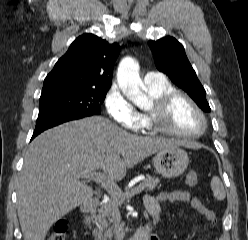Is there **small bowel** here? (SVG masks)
<instances>
[{
  "label": "small bowel",
  "instance_id": "obj_1",
  "mask_svg": "<svg viewBox=\"0 0 248 240\" xmlns=\"http://www.w3.org/2000/svg\"><path fill=\"white\" fill-rule=\"evenodd\" d=\"M164 203H185L190 205L206 220L215 224L216 216L214 212L205 206L200 200L191 196L187 191L161 192L156 196L147 195L144 197V206L150 214L154 223L159 222ZM150 240H160L158 236L151 235ZM221 240V239H217Z\"/></svg>",
  "mask_w": 248,
  "mask_h": 240
}]
</instances>
